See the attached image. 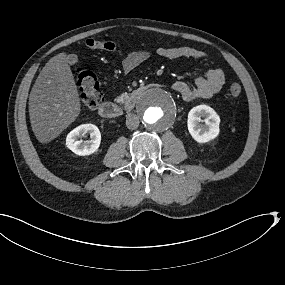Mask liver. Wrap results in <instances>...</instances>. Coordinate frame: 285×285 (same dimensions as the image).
Here are the masks:
<instances>
[{"label": "liver", "instance_id": "obj_1", "mask_svg": "<svg viewBox=\"0 0 285 285\" xmlns=\"http://www.w3.org/2000/svg\"><path fill=\"white\" fill-rule=\"evenodd\" d=\"M80 107L68 56L59 53L43 67L29 95L30 122L37 140L55 139L75 121Z\"/></svg>", "mask_w": 285, "mask_h": 285}]
</instances>
